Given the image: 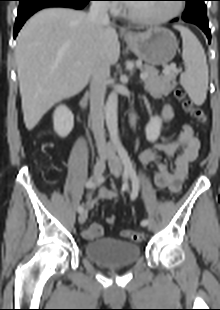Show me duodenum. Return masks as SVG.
<instances>
[{
    "mask_svg": "<svg viewBox=\"0 0 220 310\" xmlns=\"http://www.w3.org/2000/svg\"><path fill=\"white\" fill-rule=\"evenodd\" d=\"M90 93H87L84 97H83V99H82V101H81V108L83 109V111L84 112H86L87 111V107H88V103H89V100H90Z\"/></svg>",
    "mask_w": 220,
    "mask_h": 310,
    "instance_id": "410a0bca",
    "label": "duodenum"
}]
</instances>
